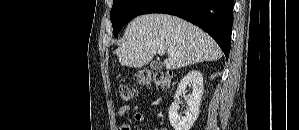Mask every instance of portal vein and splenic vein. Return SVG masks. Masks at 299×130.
I'll use <instances>...</instances> for the list:
<instances>
[{"label": "portal vein and splenic vein", "instance_id": "1", "mask_svg": "<svg viewBox=\"0 0 299 130\" xmlns=\"http://www.w3.org/2000/svg\"><path fill=\"white\" fill-rule=\"evenodd\" d=\"M158 54H159V55H163V54H165V50H164V49H159V50H158ZM173 55H174V53H171V52L168 53V56H173Z\"/></svg>", "mask_w": 299, "mask_h": 130}]
</instances>
